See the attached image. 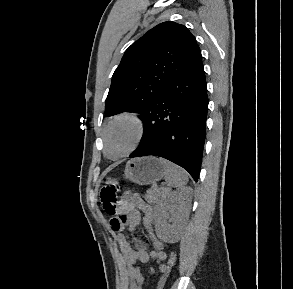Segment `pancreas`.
Instances as JSON below:
<instances>
[{"mask_svg":"<svg viewBox=\"0 0 293 289\" xmlns=\"http://www.w3.org/2000/svg\"><path fill=\"white\" fill-rule=\"evenodd\" d=\"M166 195V190L162 188L153 187L147 190L144 198L148 203L156 204L160 201V199L164 198Z\"/></svg>","mask_w":293,"mask_h":289,"instance_id":"obj_1","label":"pancreas"}]
</instances>
